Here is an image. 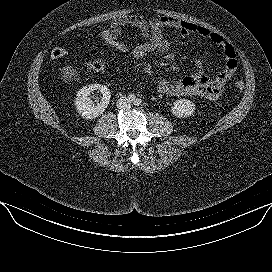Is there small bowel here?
I'll return each mask as SVG.
<instances>
[{
    "mask_svg": "<svg viewBox=\"0 0 272 272\" xmlns=\"http://www.w3.org/2000/svg\"><path fill=\"white\" fill-rule=\"evenodd\" d=\"M126 27L138 30L142 45L146 53L133 56L136 59H145L153 55H163L169 52L170 45L166 38V30L174 29L184 37L198 35L218 46L224 55V67L215 76L204 71L201 58L195 60V71L178 80H161L157 84V91L170 97L195 96L215 100L223 92L227 82L232 79L237 69V55L234 47L220 34L206 27L179 20L172 17L161 16L146 20L137 15H126L114 20L107 30L123 34Z\"/></svg>",
    "mask_w": 272,
    "mask_h": 272,
    "instance_id": "small-bowel-1",
    "label": "small bowel"
}]
</instances>
